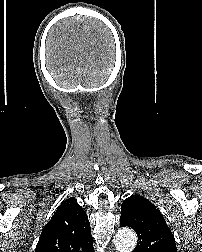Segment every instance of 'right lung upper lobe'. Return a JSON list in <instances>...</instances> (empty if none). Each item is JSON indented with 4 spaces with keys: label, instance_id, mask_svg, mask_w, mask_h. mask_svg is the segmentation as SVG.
Returning a JSON list of instances; mask_svg holds the SVG:
<instances>
[{
    "label": "right lung upper lobe",
    "instance_id": "cb5924a9",
    "mask_svg": "<svg viewBox=\"0 0 202 252\" xmlns=\"http://www.w3.org/2000/svg\"><path fill=\"white\" fill-rule=\"evenodd\" d=\"M87 214L74 198L65 200L44 227L35 252H93Z\"/></svg>",
    "mask_w": 202,
    "mask_h": 252
}]
</instances>
